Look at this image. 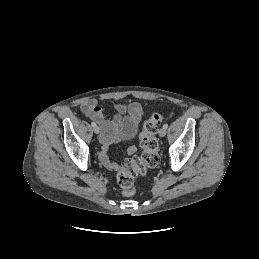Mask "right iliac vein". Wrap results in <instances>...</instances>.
Returning a JSON list of instances; mask_svg holds the SVG:
<instances>
[{
  "mask_svg": "<svg viewBox=\"0 0 259 259\" xmlns=\"http://www.w3.org/2000/svg\"><path fill=\"white\" fill-rule=\"evenodd\" d=\"M93 130L96 134L100 132V128L98 126H95Z\"/></svg>",
  "mask_w": 259,
  "mask_h": 259,
  "instance_id": "right-iliac-vein-1",
  "label": "right iliac vein"
}]
</instances>
